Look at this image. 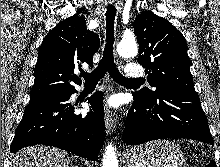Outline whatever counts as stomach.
Segmentation results:
<instances>
[{"label": "stomach", "mask_w": 220, "mask_h": 167, "mask_svg": "<svg viewBox=\"0 0 220 167\" xmlns=\"http://www.w3.org/2000/svg\"><path fill=\"white\" fill-rule=\"evenodd\" d=\"M127 167H186L181 150L171 141L159 140L130 148Z\"/></svg>", "instance_id": "obj_1"}]
</instances>
